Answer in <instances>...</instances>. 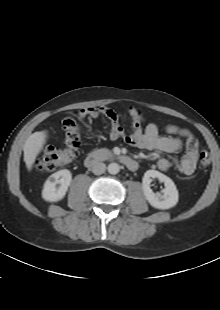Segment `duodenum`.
Segmentation results:
<instances>
[{
  "label": "duodenum",
  "mask_w": 220,
  "mask_h": 310,
  "mask_svg": "<svg viewBox=\"0 0 220 310\" xmlns=\"http://www.w3.org/2000/svg\"><path fill=\"white\" fill-rule=\"evenodd\" d=\"M102 161H119L130 171H136L138 168V164L133 158L126 155L115 154L105 149L88 154L83 162L86 167H93Z\"/></svg>",
  "instance_id": "410a0bca"
}]
</instances>
